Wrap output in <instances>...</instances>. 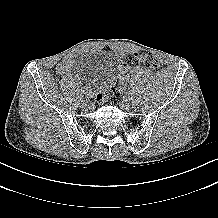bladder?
<instances>
[{"mask_svg":"<svg viewBox=\"0 0 218 218\" xmlns=\"http://www.w3.org/2000/svg\"><path fill=\"white\" fill-rule=\"evenodd\" d=\"M81 65L90 81L102 87L112 78L114 57L109 53L88 54L82 57Z\"/></svg>","mask_w":218,"mask_h":218,"instance_id":"bladder-1","label":"bladder"}]
</instances>
